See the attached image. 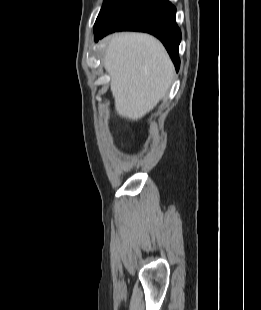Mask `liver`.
<instances>
[{
	"mask_svg": "<svg viewBox=\"0 0 261 310\" xmlns=\"http://www.w3.org/2000/svg\"><path fill=\"white\" fill-rule=\"evenodd\" d=\"M105 70L111 76L115 111L137 121L166 95L174 66L155 37L134 32L115 33L105 39Z\"/></svg>",
	"mask_w": 261,
	"mask_h": 310,
	"instance_id": "obj_1",
	"label": "liver"
}]
</instances>
